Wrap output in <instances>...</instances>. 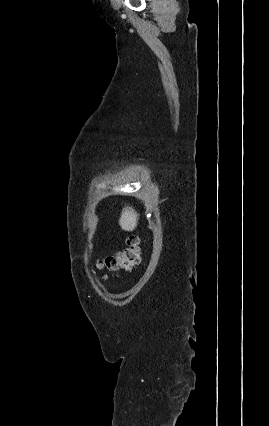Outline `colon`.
Masks as SVG:
<instances>
[{"label": "colon", "instance_id": "5ec220e1", "mask_svg": "<svg viewBox=\"0 0 269 426\" xmlns=\"http://www.w3.org/2000/svg\"><path fill=\"white\" fill-rule=\"evenodd\" d=\"M140 261L139 239L131 236L127 239V246L124 250L114 255L108 256L99 261L98 267L106 269L112 274H119L136 266Z\"/></svg>", "mask_w": 269, "mask_h": 426}]
</instances>
